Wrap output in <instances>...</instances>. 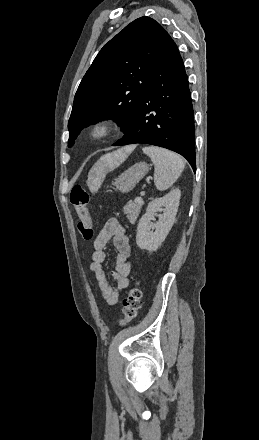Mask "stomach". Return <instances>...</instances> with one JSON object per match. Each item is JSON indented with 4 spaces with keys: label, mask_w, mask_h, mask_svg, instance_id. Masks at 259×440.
<instances>
[{
    "label": "stomach",
    "mask_w": 259,
    "mask_h": 440,
    "mask_svg": "<svg viewBox=\"0 0 259 440\" xmlns=\"http://www.w3.org/2000/svg\"><path fill=\"white\" fill-rule=\"evenodd\" d=\"M148 165L144 162L136 163L135 165L124 171L115 180L116 189L122 193H128L136 186V184L147 174ZM88 185L93 187V180L90 175Z\"/></svg>",
    "instance_id": "0dacf381"
}]
</instances>
